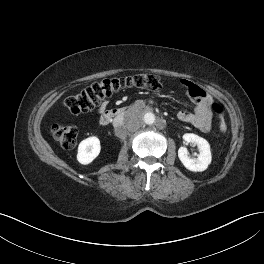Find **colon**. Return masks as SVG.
<instances>
[{"mask_svg": "<svg viewBox=\"0 0 264 264\" xmlns=\"http://www.w3.org/2000/svg\"><path fill=\"white\" fill-rule=\"evenodd\" d=\"M130 88L146 89L156 92L162 89V81L160 77L154 74L106 78L93 83L79 93L67 97L63 105L72 114L88 112L113 94ZM212 108L218 117L220 131L226 133L227 124L222 108L217 104H213ZM51 132L55 140L65 149H71L77 143L78 130L73 125L55 123L51 127Z\"/></svg>", "mask_w": 264, "mask_h": 264, "instance_id": "obj_1", "label": "colon"}]
</instances>
